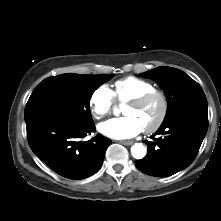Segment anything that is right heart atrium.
Returning a JSON list of instances; mask_svg holds the SVG:
<instances>
[{
	"label": "right heart atrium",
	"mask_w": 221,
	"mask_h": 221,
	"mask_svg": "<svg viewBox=\"0 0 221 221\" xmlns=\"http://www.w3.org/2000/svg\"><path fill=\"white\" fill-rule=\"evenodd\" d=\"M91 114L95 119H102L114 108L115 97L113 91L106 85L98 86L91 94L89 100Z\"/></svg>",
	"instance_id": "d8ad5b80"
}]
</instances>
